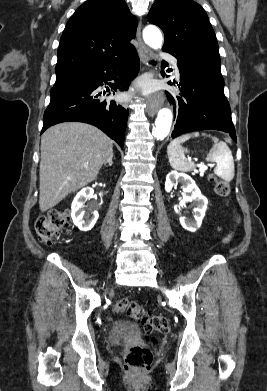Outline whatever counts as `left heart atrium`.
<instances>
[{
	"label": "left heart atrium",
	"mask_w": 267,
	"mask_h": 391,
	"mask_svg": "<svg viewBox=\"0 0 267 391\" xmlns=\"http://www.w3.org/2000/svg\"><path fill=\"white\" fill-rule=\"evenodd\" d=\"M144 88H145V90H148V86L147 85H144Z\"/></svg>",
	"instance_id": "1"
}]
</instances>
